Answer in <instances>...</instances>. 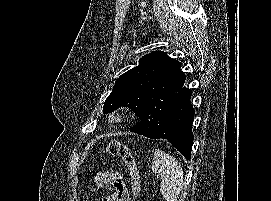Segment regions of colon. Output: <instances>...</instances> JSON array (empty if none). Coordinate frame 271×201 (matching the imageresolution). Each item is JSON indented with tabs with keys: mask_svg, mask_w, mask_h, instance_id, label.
Masks as SVG:
<instances>
[{
	"mask_svg": "<svg viewBox=\"0 0 271 201\" xmlns=\"http://www.w3.org/2000/svg\"><path fill=\"white\" fill-rule=\"evenodd\" d=\"M106 153L110 156L118 157L123 161L129 172L133 190L137 191L140 185V176L130 147L120 141H111L106 147Z\"/></svg>",
	"mask_w": 271,
	"mask_h": 201,
	"instance_id": "5ec220e1",
	"label": "colon"
}]
</instances>
